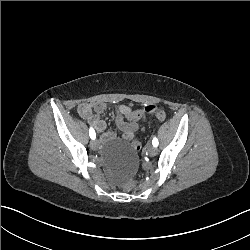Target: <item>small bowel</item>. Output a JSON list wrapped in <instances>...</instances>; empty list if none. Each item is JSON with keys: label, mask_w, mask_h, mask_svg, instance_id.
I'll return each instance as SVG.
<instances>
[{"label": "small bowel", "mask_w": 250, "mask_h": 250, "mask_svg": "<svg viewBox=\"0 0 250 250\" xmlns=\"http://www.w3.org/2000/svg\"><path fill=\"white\" fill-rule=\"evenodd\" d=\"M107 105L102 102L97 103H82L78 106L77 111L79 115L90 121L96 132L101 135L104 141H111L115 138L113 132H106V122L101 118V115L106 112ZM134 110L128 105H120L115 108V122L122 133L124 140L130 141L134 135L139 131V121L143 120L145 116L138 122H133L130 119V114Z\"/></svg>", "instance_id": "small-bowel-1"}]
</instances>
